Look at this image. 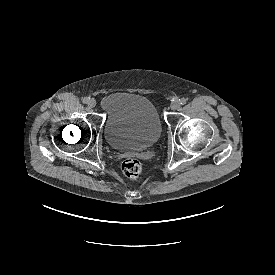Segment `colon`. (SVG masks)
<instances>
[{
  "label": "colon",
  "instance_id": "5ec220e1",
  "mask_svg": "<svg viewBox=\"0 0 275 275\" xmlns=\"http://www.w3.org/2000/svg\"><path fill=\"white\" fill-rule=\"evenodd\" d=\"M121 170L126 178L134 179L140 175L142 171V165L138 159L129 158L123 161Z\"/></svg>",
  "mask_w": 275,
  "mask_h": 275
}]
</instances>
